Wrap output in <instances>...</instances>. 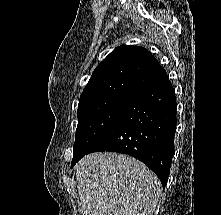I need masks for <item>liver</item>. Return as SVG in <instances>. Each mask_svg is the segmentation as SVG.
Wrapping results in <instances>:
<instances>
[{
	"instance_id": "liver-1",
	"label": "liver",
	"mask_w": 221,
	"mask_h": 215,
	"mask_svg": "<svg viewBox=\"0 0 221 215\" xmlns=\"http://www.w3.org/2000/svg\"><path fill=\"white\" fill-rule=\"evenodd\" d=\"M82 215H153L162 186L135 158L92 153L76 165Z\"/></svg>"
}]
</instances>
